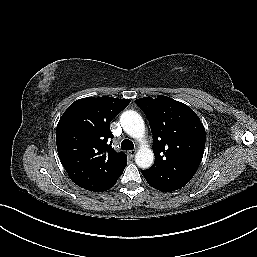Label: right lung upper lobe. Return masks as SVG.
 <instances>
[{
	"mask_svg": "<svg viewBox=\"0 0 257 257\" xmlns=\"http://www.w3.org/2000/svg\"><path fill=\"white\" fill-rule=\"evenodd\" d=\"M130 103L128 99L87 97L73 102L61 116L56 144L71 180L81 188L99 191L123 173L127 156L112 148L111 120Z\"/></svg>",
	"mask_w": 257,
	"mask_h": 257,
	"instance_id": "cb5924a9",
	"label": "right lung upper lobe"
}]
</instances>
